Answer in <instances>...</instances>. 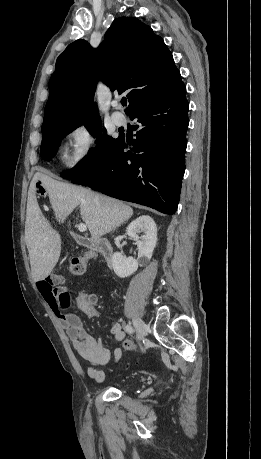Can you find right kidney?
Returning a JSON list of instances; mask_svg holds the SVG:
<instances>
[{
  "mask_svg": "<svg viewBox=\"0 0 261 459\" xmlns=\"http://www.w3.org/2000/svg\"><path fill=\"white\" fill-rule=\"evenodd\" d=\"M144 235L139 237V233ZM126 233L134 241L138 248L137 260L132 257H126L121 252H115L112 256V266L115 274L120 278L129 277L137 271L139 266L145 265L152 257L154 248L157 243L156 224L149 215H142L132 221Z\"/></svg>",
  "mask_w": 261,
  "mask_h": 459,
  "instance_id": "1",
  "label": "right kidney"
}]
</instances>
